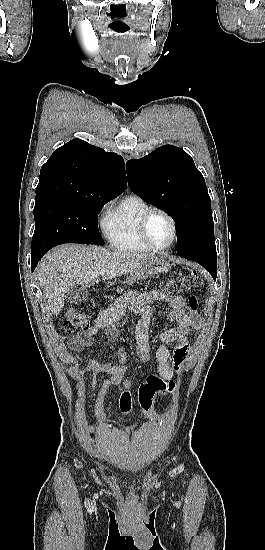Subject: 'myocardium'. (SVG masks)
<instances>
[{"label": "myocardium", "instance_id": "1", "mask_svg": "<svg viewBox=\"0 0 265 550\" xmlns=\"http://www.w3.org/2000/svg\"><path fill=\"white\" fill-rule=\"evenodd\" d=\"M155 213H159V214H162L163 216H165L169 220V222L171 224V228H172V239L168 244L163 245V246H159V245H156L155 243H153V241L150 239L149 234H148V222H149L151 216ZM139 234H140V237H141L142 241L144 242V244L149 249L156 250V251L167 250V249L171 248L177 240V236H178L177 223H176L174 217L170 213H168L166 210L158 208V207H151L150 209L145 211L143 213V215L141 216V218H140V221H139Z\"/></svg>", "mask_w": 265, "mask_h": 550}]
</instances>
